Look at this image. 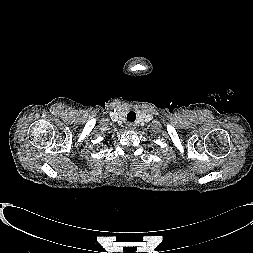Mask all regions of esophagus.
Segmentation results:
<instances>
[{
    "label": "esophagus",
    "mask_w": 253,
    "mask_h": 253,
    "mask_svg": "<svg viewBox=\"0 0 253 253\" xmlns=\"http://www.w3.org/2000/svg\"><path fill=\"white\" fill-rule=\"evenodd\" d=\"M126 127H127V129H129V130H134V129H135V124L129 122V123L126 124Z\"/></svg>",
    "instance_id": "esophagus-1"
}]
</instances>
